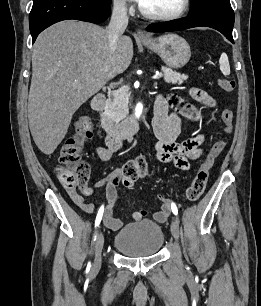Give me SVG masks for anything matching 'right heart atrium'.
I'll return each mask as SVG.
<instances>
[{
  "label": "right heart atrium",
  "mask_w": 261,
  "mask_h": 306,
  "mask_svg": "<svg viewBox=\"0 0 261 306\" xmlns=\"http://www.w3.org/2000/svg\"><path fill=\"white\" fill-rule=\"evenodd\" d=\"M112 6L117 13H126L129 9L127 0H112Z\"/></svg>",
  "instance_id": "d8ad5b80"
}]
</instances>
